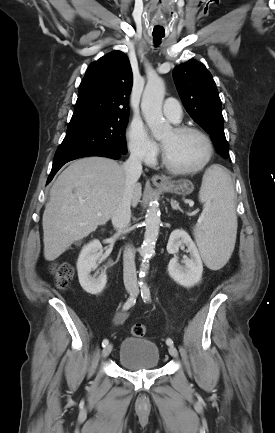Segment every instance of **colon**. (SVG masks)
Instances as JSON below:
<instances>
[{
	"instance_id": "colon-1",
	"label": "colon",
	"mask_w": 275,
	"mask_h": 433,
	"mask_svg": "<svg viewBox=\"0 0 275 433\" xmlns=\"http://www.w3.org/2000/svg\"><path fill=\"white\" fill-rule=\"evenodd\" d=\"M55 284L58 288L64 289L68 286L73 277V268L69 263L62 262L55 265L52 269ZM146 333V327L141 323H136L132 327V334L135 337H143Z\"/></svg>"
}]
</instances>
